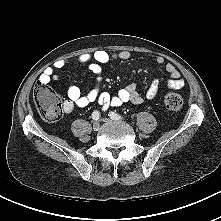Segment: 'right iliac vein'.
<instances>
[{"instance_id":"1","label":"right iliac vein","mask_w":221,"mask_h":221,"mask_svg":"<svg viewBox=\"0 0 221 221\" xmlns=\"http://www.w3.org/2000/svg\"><path fill=\"white\" fill-rule=\"evenodd\" d=\"M93 129H94L95 131H98V130L100 129V122H99V121H95V122L93 123Z\"/></svg>"}]
</instances>
